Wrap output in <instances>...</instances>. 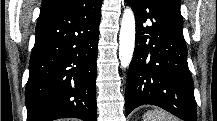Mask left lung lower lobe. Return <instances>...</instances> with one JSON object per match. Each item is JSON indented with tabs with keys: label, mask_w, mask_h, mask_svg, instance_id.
Instances as JSON below:
<instances>
[{
	"label": "left lung lower lobe",
	"mask_w": 217,
	"mask_h": 121,
	"mask_svg": "<svg viewBox=\"0 0 217 121\" xmlns=\"http://www.w3.org/2000/svg\"><path fill=\"white\" fill-rule=\"evenodd\" d=\"M126 2L136 20L135 50L126 85V115L140 105L152 104L184 121H197L180 6L172 0ZM146 21L152 25L146 26Z\"/></svg>",
	"instance_id": "0a47b994"
}]
</instances>
